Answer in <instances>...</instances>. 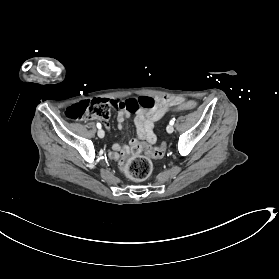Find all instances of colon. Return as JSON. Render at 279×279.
Here are the masks:
<instances>
[{
	"label": "colon",
	"mask_w": 279,
	"mask_h": 279,
	"mask_svg": "<svg viewBox=\"0 0 279 279\" xmlns=\"http://www.w3.org/2000/svg\"><path fill=\"white\" fill-rule=\"evenodd\" d=\"M156 101L149 96H141L127 100H109L96 98L91 101H81L68 107L65 115L71 120H81L95 117L102 120L109 118L111 109H122L129 112L150 110L155 107ZM197 107L195 101H185L176 106L179 110H193ZM166 152L165 143L152 147L141 143L132 146V154L124 156L120 161L121 171L133 181H143L152 173L151 159H159Z\"/></svg>",
	"instance_id": "obj_1"
}]
</instances>
